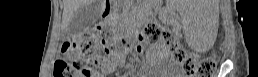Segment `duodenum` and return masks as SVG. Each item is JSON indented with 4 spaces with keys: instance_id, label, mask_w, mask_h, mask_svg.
<instances>
[{
    "instance_id": "1",
    "label": "duodenum",
    "mask_w": 258,
    "mask_h": 77,
    "mask_svg": "<svg viewBox=\"0 0 258 77\" xmlns=\"http://www.w3.org/2000/svg\"><path fill=\"white\" fill-rule=\"evenodd\" d=\"M109 3H111V1H107V6L104 7V16L107 18L110 15V8H109Z\"/></svg>"
}]
</instances>
